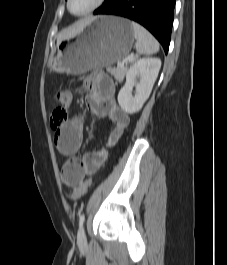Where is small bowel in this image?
Listing matches in <instances>:
<instances>
[{
	"mask_svg": "<svg viewBox=\"0 0 227 265\" xmlns=\"http://www.w3.org/2000/svg\"><path fill=\"white\" fill-rule=\"evenodd\" d=\"M85 88L87 109L96 116L105 117L114 128L109 134L105 148L87 152L80 159L74 156L83 142V119L73 117L56 129L54 143L57 150L63 156L72 157L69 160L75 161L68 179L63 178L68 186L81 184L86 175L95 173L106 162L108 149L118 142L130 123L129 115L121 110L115 101V87L109 76L92 72L85 82Z\"/></svg>",
	"mask_w": 227,
	"mask_h": 265,
	"instance_id": "small-bowel-1",
	"label": "small bowel"
}]
</instances>
